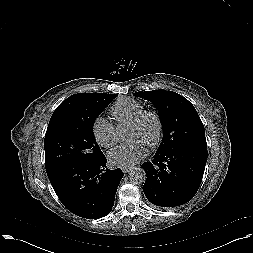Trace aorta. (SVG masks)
<instances>
[{
	"label": "aorta",
	"mask_w": 253,
	"mask_h": 253,
	"mask_svg": "<svg viewBox=\"0 0 253 253\" xmlns=\"http://www.w3.org/2000/svg\"><path fill=\"white\" fill-rule=\"evenodd\" d=\"M129 177L133 183H143L146 179V173L142 168H135L130 172Z\"/></svg>",
	"instance_id": "1"
}]
</instances>
